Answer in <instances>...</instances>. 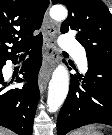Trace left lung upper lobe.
<instances>
[{"instance_id":"left-lung-upper-lobe-1","label":"left lung upper lobe","mask_w":112,"mask_h":135,"mask_svg":"<svg viewBox=\"0 0 112 135\" xmlns=\"http://www.w3.org/2000/svg\"><path fill=\"white\" fill-rule=\"evenodd\" d=\"M63 4L69 15L61 32L77 31L76 39L86 50L87 60L112 62V15L101 0H52Z\"/></svg>"}]
</instances>
